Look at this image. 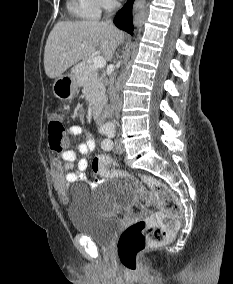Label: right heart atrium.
I'll return each instance as SVG.
<instances>
[{
  "label": "right heart atrium",
  "instance_id": "obj_1",
  "mask_svg": "<svg viewBox=\"0 0 233 284\" xmlns=\"http://www.w3.org/2000/svg\"><path fill=\"white\" fill-rule=\"evenodd\" d=\"M100 9L109 11L118 6V0H96Z\"/></svg>",
  "mask_w": 233,
  "mask_h": 284
}]
</instances>
